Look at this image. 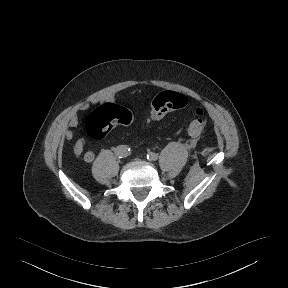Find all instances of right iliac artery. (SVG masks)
<instances>
[{
  "label": "right iliac artery",
  "mask_w": 288,
  "mask_h": 288,
  "mask_svg": "<svg viewBox=\"0 0 288 288\" xmlns=\"http://www.w3.org/2000/svg\"><path fill=\"white\" fill-rule=\"evenodd\" d=\"M130 150V149H128ZM115 154L119 157V158H123L125 157L128 153H127V148L125 146H119L116 148Z\"/></svg>",
  "instance_id": "right-iliac-artery-1"
}]
</instances>
